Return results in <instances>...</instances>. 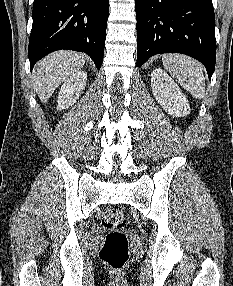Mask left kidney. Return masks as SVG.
Listing matches in <instances>:
<instances>
[{
  "label": "left kidney",
  "instance_id": "1",
  "mask_svg": "<svg viewBox=\"0 0 233 286\" xmlns=\"http://www.w3.org/2000/svg\"><path fill=\"white\" fill-rule=\"evenodd\" d=\"M151 89L156 101L168 114L184 117L190 113L189 102L174 80L162 69L151 73Z\"/></svg>",
  "mask_w": 233,
  "mask_h": 286
}]
</instances>
